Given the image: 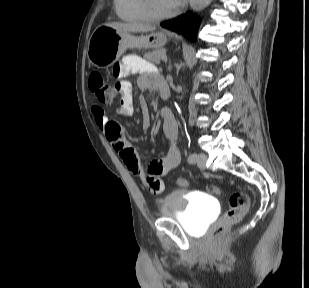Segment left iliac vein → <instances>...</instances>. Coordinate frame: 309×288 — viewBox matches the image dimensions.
<instances>
[{
  "instance_id": "1",
  "label": "left iliac vein",
  "mask_w": 309,
  "mask_h": 288,
  "mask_svg": "<svg viewBox=\"0 0 309 288\" xmlns=\"http://www.w3.org/2000/svg\"><path fill=\"white\" fill-rule=\"evenodd\" d=\"M207 155L204 153H200L197 156V165L200 169H205L206 167Z\"/></svg>"
}]
</instances>
